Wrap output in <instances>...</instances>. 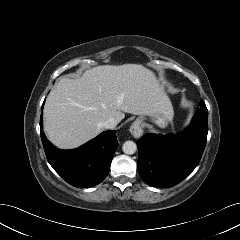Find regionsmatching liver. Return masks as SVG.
<instances>
[{"label": "liver", "mask_w": 240, "mask_h": 240, "mask_svg": "<svg viewBox=\"0 0 240 240\" xmlns=\"http://www.w3.org/2000/svg\"><path fill=\"white\" fill-rule=\"evenodd\" d=\"M172 109L155 74L140 64L103 65L76 79L62 78L44 106V131L62 149L76 148L100 134L110 117L153 115Z\"/></svg>", "instance_id": "liver-1"}]
</instances>
